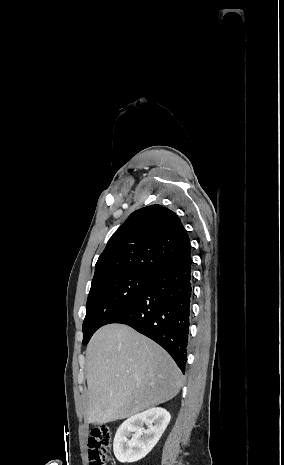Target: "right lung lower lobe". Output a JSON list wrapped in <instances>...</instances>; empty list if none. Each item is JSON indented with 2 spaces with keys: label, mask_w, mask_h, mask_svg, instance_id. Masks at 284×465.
I'll list each match as a JSON object with an SVG mask.
<instances>
[{
  "label": "right lung lower lobe",
  "mask_w": 284,
  "mask_h": 465,
  "mask_svg": "<svg viewBox=\"0 0 284 465\" xmlns=\"http://www.w3.org/2000/svg\"><path fill=\"white\" fill-rule=\"evenodd\" d=\"M190 252L167 266L106 324L129 325L161 345L185 372L191 317Z\"/></svg>",
  "instance_id": "1"
}]
</instances>
